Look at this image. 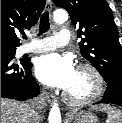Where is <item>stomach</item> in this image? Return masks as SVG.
Instances as JSON below:
<instances>
[{
    "instance_id": "1",
    "label": "stomach",
    "mask_w": 122,
    "mask_h": 123,
    "mask_svg": "<svg viewBox=\"0 0 122 123\" xmlns=\"http://www.w3.org/2000/svg\"><path fill=\"white\" fill-rule=\"evenodd\" d=\"M73 123H99L98 117L89 111H80L71 116Z\"/></svg>"
}]
</instances>
